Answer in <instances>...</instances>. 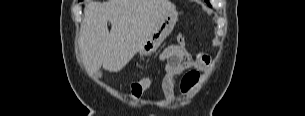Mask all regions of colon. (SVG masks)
Instances as JSON below:
<instances>
[{
  "mask_svg": "<svg viewBox=\"0 0 305 116\" xmlns=\"http://www.w3.org/2000/svg\"><path fill=\"white\" fill-rule=\"evenodd\" d=\"M178 42L180 44H186V39L183 35L178 36ZM186 78H194L196 73L193 71L188 72ZM152 84L151 77H143L139 80L134 81L130 86V96L133 100H140L145 92L150 88Z\"/></svg>",
  "mask_w": 305,
  "mask_h": 116,
  "instance_id": "1",
  "label": "colon"
}]
</instances>
